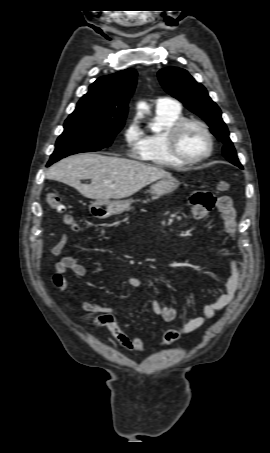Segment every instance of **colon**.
<instances>
[{"instance_id": "colon-1", "label": "colon", "mask_w": 270, "mask_h": 453, "mask_svg": "<svg viewBox=\"0 0 270 453\" xmlns=\"http://www.w3.org/2000/svg\"><path fill=\"white\" fill-rule=\"evenodd\" d=\"M230 189V184L225 181H220L216 184V192L221 194L225 193ZM195 200L201 205L205 206L206 209H211L215 204V198L206 192H197L194 194ZM48 205L58 212L61 215L63 223L71 228L74 231L80 230V225L78 221L68 212H66V207L62 202V199L59 195L50 193L46 197ZM61 278L57 275L54 276V283L58 286Z\"/></svg>"}]
</instances>
